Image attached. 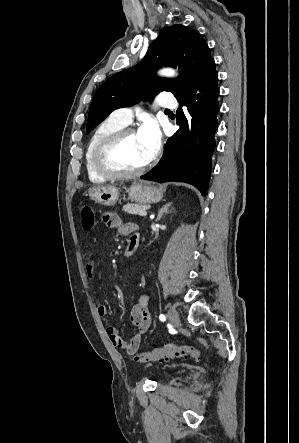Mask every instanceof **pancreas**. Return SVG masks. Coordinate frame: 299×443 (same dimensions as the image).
<instances>
[{
	"label": "pancreas",
	"mask_w": 299,
	"mask_h": 443,
	"mask_svg": "<svg viewBox=\"0 0 299 443\" xmlns=\"http://www.w3.org/2000/svg\"><path fill=\"white\" fill-rule=\"evenodd\" d=\"M149 206L145 204H132L128 203L123 206V211L129 214H138L139 211L147 210Z\"/></svg>",
	"instance_id": "obj_1"
}]
</instances>
